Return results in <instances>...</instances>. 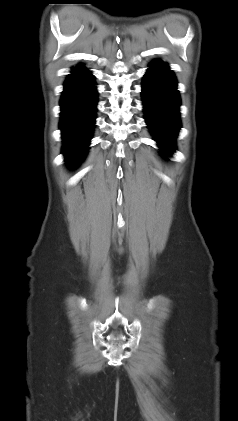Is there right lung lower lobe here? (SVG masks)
<instances>
[{
	"label": "right lung lower lobe",
	"instance_id": "98d812e1",
	"mask_svg": "<svg viewBox=\"0 0 238 421\" xmlns=\"http://www.w3.org/2000/svg\"><path fill=\"white\" fill-rule=\"evenodd\" d=\"M60 101L63 149L68 166L78 165L86 155L94 128L97 91L94 77L83 66H76L65 81Z\"/></svg>",
	"mask_w": 238,
	"mask_h": 421
}]
</instances>
